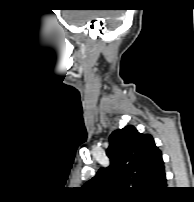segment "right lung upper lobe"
Wrapping results in <instances>:
<instances>
[{"label": "right lung upper lobe", "instance_id": "right-lung-upper-lobe-1", "mask_svg": "<svg viewBox=\"0 0 194 202\" xmlns=\"http://www.w3.org/2000/svg\"><path fill=\"white\" fill-rule=\"evenodd\" d=\"M110 166L101 168L85 186L93 190L112 189L150 196L166 188L162 153L150 134L132 125L114 131L106 151Z\"/></svg>", "mask_w": 194, "mask_h": 202}]
</instances>
